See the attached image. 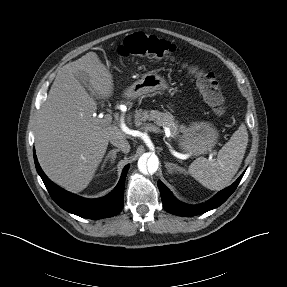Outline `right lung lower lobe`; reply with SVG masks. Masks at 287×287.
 I'll return each mask as SVG.
<instances>
[{
	"mask_svg": "<svg viewBox=\"0 0 287 287\" xmlns=\"http://www.w3.org/2000/svg\"><path fill=\"white\" fill-rule=\"evenodd\" d=\"M34 162L51 198L64 210L88 219L112 217L122 210L124 183L129 165H126L123 169L121 178L111 193L99 199H85L58 187L50 181L42 171L35 154Z\"/></svg>",
	"mask_w": 287,
	"mask_h": 287,
	"instance_id": "obj_1",
	"label": "right lung lower lobe"
}]
</instances>
